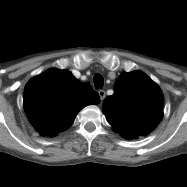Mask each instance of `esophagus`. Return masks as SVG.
<instances>
[{
  "mask_svg": "<svg viewBox=\"0 0 187 187\" xmlns=\"http://www.w3.org/2000/svg\"><path fill=\"white\" fill-rule=\"evenodd\" d=\"M98 94H99L100 100L102 102L105 99L106 93L104 90H99Z\"/></svg>",
  "mask_w": 187,
  "mask_h": 187,
  "instance_id": "34e87169",
  "label": "esophagus"
}]
</instances>
